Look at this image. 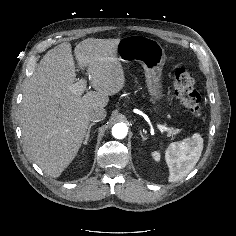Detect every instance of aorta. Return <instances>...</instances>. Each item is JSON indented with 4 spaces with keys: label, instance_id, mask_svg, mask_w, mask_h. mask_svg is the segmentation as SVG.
Segmentation results:
<instances>
[{
    "label": "aorta",
    "instance_id": "762f6f07",
    "mask_svg": "<svg viewBox=\"0 0 236 236\" xmlns=\"http://www.w3.org/2000/svg\"><path fill=\"white\" fill-rule=\"evenodd\" d=\"M128 128L124 123H117L112 128V135L116 139H123L126 137Z\"/></svg>",
    "mask_w": 236,
    "mask_h": 236
}]
</instances>
